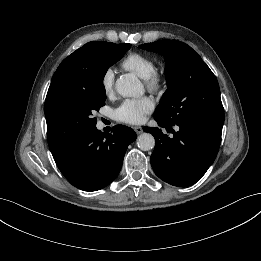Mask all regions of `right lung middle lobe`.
Returning a JSON list of instances; mask_svg holds the SVG:
<instances>
[{
	"label": "right lung middle lobe",
	"instance_id": "obj_1",
	"mask_svg": "<svg viewBox=\"0 0 261 261\" xmlns=\"http://www.w3.org/2000/svg\"><path fill=\"white\" fill-rule=\"evenodd\" d=\"M131 44L110 43L89 58V84L80 90L57 97L46 108L48 144L52 154L58 153L80 135L96 126L93 117L106 100L103 78L108 68L119 61Z\"/></svg>",
	"mask_w": 261,
	"mask_h": 261
}]
</instances>
